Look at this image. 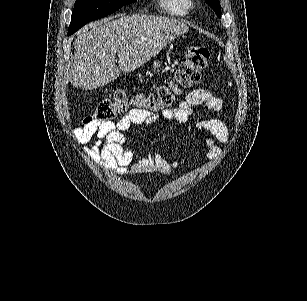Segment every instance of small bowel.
Returning <instances> with one entry per match:
<instances>
[{
    "label": "small bowel",
    "instance_id": "c3829d8e",
    "mask_svg": "<svg viewBox=\"0 0 307 301\" xmlns=\"http://www.w3.org/2000/svg\"><path fill=\"white\" fill-rule=\"evenodd\" d=\"M199 109L207 111L225 110L224 101L212 95L206 89H196L190 92L176 108L161 112L168 121L185 124L188 130H199L207 147V158L215 159L221 152L218 143L227 144L230 134L227 125L217 118L206 117L192 123V115ZM160 115L152 111L131 109L116 123L92 122L73 130L75 139L82 145L94 141L91 148L85 147V153L102 167L114 169L122 175L145 174L158 172L169 176L170 172L185 162L166 158L159 153L146 154L135 160L133 150L126 145L124 133L132 127L150 125L159 119Z\"/></svg>",
    "mask_w": 307,
    "mask_h": 301
}]
</instances>
